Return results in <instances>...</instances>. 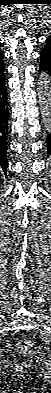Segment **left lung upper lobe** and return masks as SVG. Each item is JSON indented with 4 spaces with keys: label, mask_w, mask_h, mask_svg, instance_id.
Listing matches in <instances>:
<instances>
[{
    "label": "left lung upper lobe",
    "mask_w": 51,
    "mask_h": 393,
    "mask_svg": "<svg viewBox=\"0 0 51 393\" xmlns=\"http://www.w3.org/2000/svg\"><path fill=\"white\" fill-rule=\"evenodd\" d=\"M44 52L48 53L51 55V36H49L45 42V46L43 48Z\"/></svg>",
    "instance_id": "obj_1"
}]
</instances>
